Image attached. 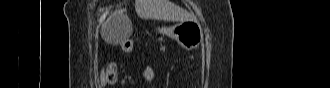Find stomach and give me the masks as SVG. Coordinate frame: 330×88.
<instances>
[{
    "label": "stomach",
    "mask_w": 330,
    "mask_h": 88,
    "mask_svg": "<svg viewBox=\"0 0 330 88\" xmlns=\"http://www.w3.org/2000/svg\"><path fill=\"white\" fill-rule=\"evenodd\" d=\"M168 35L185 49H194L203 39V31L196 21H183L168 29Z\"/></svg>",
    "instance_id": "obj_1"
}]
</instances>
